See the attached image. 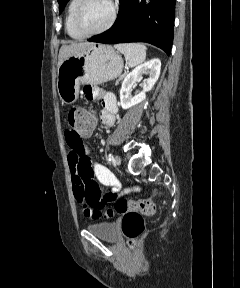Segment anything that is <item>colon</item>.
Here are the masks:
<instances>
[{
	"label": "colon",
	"instance_id": "obj_1",
	"mask_svg": "<svg viewBox=\"0 0 240 288\" xmlns=\"http://www.w3.org/2000/svg\"><path fill=\"white\" fill-rule=\"evenodd\" d=\"M96 123V114L85 108H73L66 117L67 128L77 136L92 130ZM154 195H159L158 191ZM110 201H115L114 207L108 209L105 215L112 217L114 214L122 215V232L128 240L129 246L133 247L137 238L144 231V216H152L155 213V203L151 199L128 200L117 199V194L109 192L102 194L101 191L91 190L82 204L83 211L91 212L96 218L102 215L101 209Z\"/></svg>",
	"mask_w": 240,
	"mask_h": 288
}]
</instances>
